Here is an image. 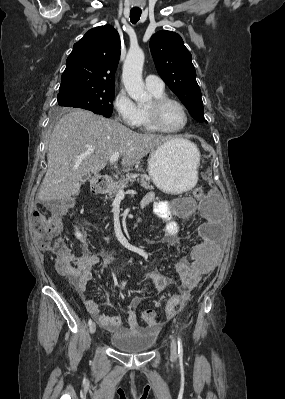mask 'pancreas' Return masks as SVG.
Segmentation results:
<instances>
[{"mask_svg":"<svg viewBox=\"0 0 285 399\" xmlns=\"http://www.w3.org/2000/svg\"><path fill=\"white\" fill-rule=\"evenodd\" d=\"M139 181L140 185L145 189H153V186L150 185V178L145 175H139L137 173H127L126 176H123L119 181L108 185L106 193L109 199H112L123 186L127 185L129 182H134L135 179Z\"/></svg>","mask_w":285,"mask_h":399,"instance_id":"obj_1","label":"pancreas"}]
</instances>
